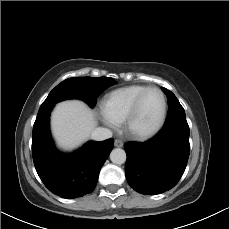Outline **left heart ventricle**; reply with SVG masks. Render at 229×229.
I'll return each instance as SVG.
<instances>
[{"label":"left heart ventricle","instance_id":"obj_1","mask_svg":"<svg viewBox=\"0 0 229 229\" xmlns=\"http://www.w3.org/2000/svg\"><path fill=\"white\" fill-rule=\"evenodd\" d=\"M162 109L161 95L156 91L149 92L142 100L133 123L136 131L150 129L159 119Z\"/></svg>","mask_w":229,"mask_h":229}]
</instances>
